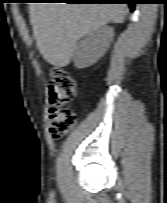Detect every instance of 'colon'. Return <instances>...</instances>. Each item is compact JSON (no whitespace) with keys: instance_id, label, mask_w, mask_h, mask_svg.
Masks as SVG:
<instances>
[{"instance_id":"colon-1","label":"colon","mask_w":167,"mask_h":203,"mask_svg":"<svg viewBox=\"0 0 167 203\" xmlns=\"http://www.w3.org/2000/svg\"><path fill=\"white\" fill-rule=\"evenodd\" d=\"M76 91V80L68 70L62 67L51 70L49 93L52 106L49 117L55 139L69 133L75 123V115L66 105L75 98Z\"/></svg>"}]
</instances>
